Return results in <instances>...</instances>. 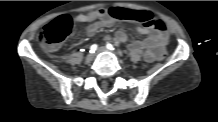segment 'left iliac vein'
<instances>
[{
  "label": "left iliac vein",
  "instance_id": "left-iliac-vein-1",
  "mask_svg": "<svg viewBox=\"0 0 218 122\" xmlns=\"http://www.w3.org/2000/svg\"><path fill=\"white\" fill-rule=\"evenodd\" d=\"M105 51H107V49H106L105 47H100V48L98 49V52H105Z\"/></svg>",
  "mask_w": 218,
  "mask_h": 122
}]
</instances>
